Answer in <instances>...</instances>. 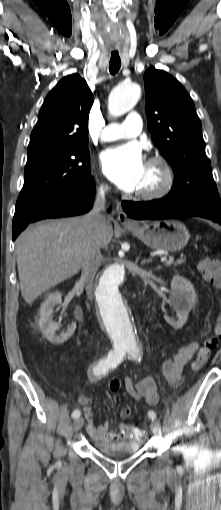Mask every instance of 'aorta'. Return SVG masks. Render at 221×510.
Wrapping results in <instances>:
<instances>
[{
	"instance_id": "obj_1",
	"label": "aorta",
	"mask_w": 221,
	"mask_h": 510,
	"mask_svg": "<svg viewBox=\"0 0 221 510\" xmlns=\"http://www.w3.org/2000/svg\"><path fill=\"white\" fill-rule=\"evenodd\" d=\"M141 88L136 83H121L109 96V113L121 116L130 111L138 102ZM126 279L123 265L113 263L107 267L95 285V296L102 323L113 343L119 350H137L139 337L129 305L122 293Z\"/></svg>"
}]
</instances>
